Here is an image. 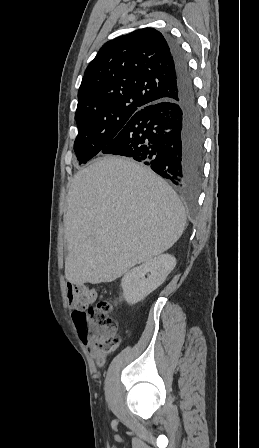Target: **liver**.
Returning a JSON list of instances; mask_svg holds the SVG:
<instances>
[{
  "label": "liver",
  "mask_w": 259,
  "mask_h": 448,
  "mask_svg": "<svg viewBox=\"0 0 259 448\" xmlns=\"http://www.w3.org/2000/svg\"><path fill=\"white\" fill-rule=\"evenodd\" d=\"M70 284H100L169 250L186 224L176 192L131 158L105 156L75 174L64 214Z\"/></svg>",
  "instance_id": "6515ba94"
}]
</instances>
